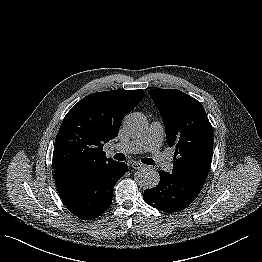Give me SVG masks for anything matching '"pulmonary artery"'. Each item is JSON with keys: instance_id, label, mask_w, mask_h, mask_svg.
<instances>
[{"instance_id": "pulmonary-artery-1", "label": "pulmonary artery", "mask_w": 262, "mask_h": 262, "mask_svg": "<svg viewBox=\"0 0 262 262\" xmlns=\"http://www.w3.org/2000/svg\"><path fill=\"white\" fill-rule=\"evenodd\" d=\"M162 139L163 126L159 121H153L143 137L128 142L117 143L114 145V149L125 153L149 151L153 154V158L159 167L164 171H169L171 169V161L159 150Z\"/></svg>"}]
</instances>
